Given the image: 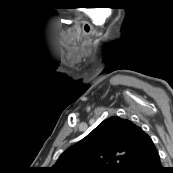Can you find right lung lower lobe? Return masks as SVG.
Segmentation results:
<instances>
[{"mask_svg":"<svg viewBox=\"0 0 173 173\" xmlns=\"http://www.w3.org/2000/svg\"><path fill=\"white\" fill-rule=\"evenodd\" d=\"M160 156L156 148L132 160L121 173H164L160 166Z\"/></svg>","mask_w":173,"mask_h":173,"instance_id":"1","label":"right lung lower lobe"}]
</instances>
